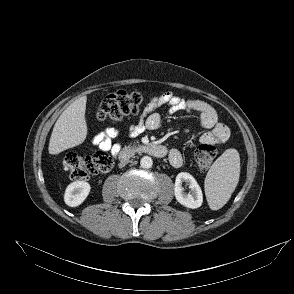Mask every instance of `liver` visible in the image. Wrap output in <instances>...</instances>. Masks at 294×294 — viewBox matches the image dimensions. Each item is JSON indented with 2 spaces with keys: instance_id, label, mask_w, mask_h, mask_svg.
Listing matches in <instances>:
<instances>
[{
  "instance_id": "liver-1",
  "label": "liver",
  "mask_w": 294,
  "mask_h": 294,
  "mask_svg": "<svg viewBox=\"0 0 294 294\" xmlns=\"http://www.w3.org/2000/svg\"><path fill=\"white\" fill-rule=\"evenodd\" d=\"M86 102V96H82L60 115L50 137L48 148L50 154H59L84 142L87 136Z\"/></svg>"
}]
</instances>
